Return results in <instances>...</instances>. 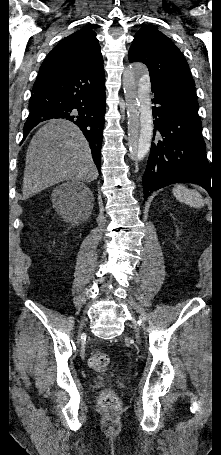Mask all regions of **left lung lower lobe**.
<instances>
[{
  "mask_svg": "<svg viewBox=\"0 0 221 455\" xmlns=\"http://www.w3.org/2000/svg\"><path fill=\"white\" fill-rule=\"evenodd\" d=\"M153 142L142 182L144 197L178 182L199 184L211 193V171L198 108L152 86Z\"/></svg>",
  "mask_w": 221,
  "mask_h": 455,
  "instance_id": "0a47b994",
  "label": "left lung lower lobe"
}]
</instances>
